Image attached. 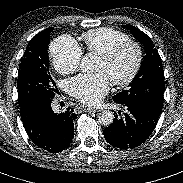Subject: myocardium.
<instances>
[{
    "instance_id": "myocardium-1",
    "label": "myocardium",
    "mask_w": 183,
    "mask_h": 183,
    "mask_svg": "<svg viewBox=\"0 0 183 183\" xmlns=\"http://www.w3.org/2000/svg\"><path fill=\"white\" fill-rule=\"evenodd\" d=\"M126 47H132L135 50L136 58L132 70L125 78L112 81V84L117 87L127 86L130 83H132L137 77L143 62L142 47L140 46V44L133 40H127L117 43L116 45L99 55L101 59H103L106 62H109L113 60Z\"/></svg>"
}]
</instances>
